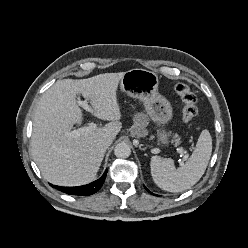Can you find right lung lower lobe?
<instances>
[{
  "label": "right lung lower lobe",
  "instance_id": "98d812e1",
  "mask_svg": "<svg viewBox=\"0 0 248 248\" xmlns=\"http://www.w3.org/2000/svg\"><path fill=\"white\" fill-rule=\"evenodd\" d=\"M107 170L104 172V174L96 181L83 185V186H77V187H61V186H55L50 184L53 188H56L64 193L70 194V195H91L97 192L103 185L104 180L106 178Z\"/></svg>",
  "mask_w": 248,
  "mask_h": 248
}]
</instances>
